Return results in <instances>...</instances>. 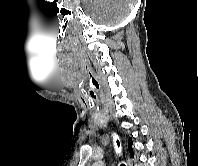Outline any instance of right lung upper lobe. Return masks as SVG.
I'll use <instances>...</instances> for the list:
<instances>
[{
	"label": "right lung upper lobe",
	"instance_id": "obj_1",
	"mask_svg": "<svg viewBox=\"0 0 198 166\" xmlns=\"http://www.w3.org/2000/svg\"><path fill=\"white\" fill-rule=\"evenodd\" d=\"M131 145H132V138L130 137L129 138V151H130L131 157H133L134 153H133V149H132Z\"/></svg>",
	"mask_w": 198,
	"mask_h": 166
}]
</instances>
